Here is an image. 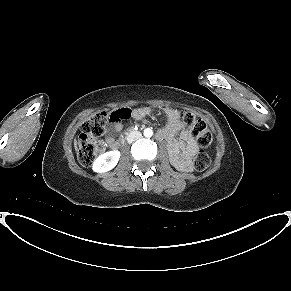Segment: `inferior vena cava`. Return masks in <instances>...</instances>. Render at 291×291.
I'll return each instance as SVG.
<instances>
[{"instance_id":"1","label":"inferior vena cava","mask_w":291,"mask_h":291,"mask_svg":"<svg viewBox=\"0 0 291 291\" xmlns=\"http://www.w3.org/2000/svg\"><path fill=\"white\" fill-rule=\"evenodd\" d=\"M142 134L139 131H133L127 136L128 143H132L135 140L141 138Z\"/></svg>"}]
</instances>
